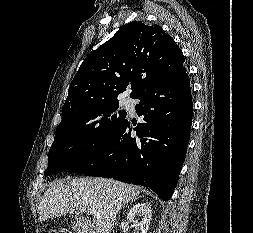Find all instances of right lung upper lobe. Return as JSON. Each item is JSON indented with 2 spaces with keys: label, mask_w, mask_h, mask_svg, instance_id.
Masks as SVG:
<instances>
[{
  "label": "right lung upper lobe",
  "mask_w": 253,
  "mask_h": 233,
  "mask_svg": "<svg viewBox=\"0 0 253 233\" xmlns=\"http://www.w3.org/2000/svg\"><path fill=\"white\" fill-rule=\"evenodd\" d=\"M184 60L174 39L159 25L130 22L83 61L69 87L62 115L117 99L129 85L130 96L135 98L151 83L182 68Z\"/></svg>",
  "instance_id": "1"
}]
</instances>
